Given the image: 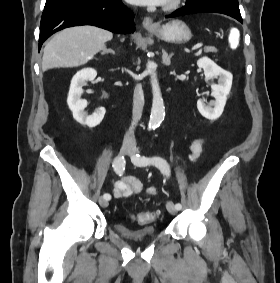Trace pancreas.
<instances>
[{
    "mask_svg": "<svg viewBox=\"0 0 280 283\" xmlns=\"http://www.w3.org/2000/svg\"><path fill=\"white\" fill-rule=\"evenodd\" d=\"M204 52L205 53H208V52L216 53L217 49L215 47H212V46H207V47H204Z\"/></svg>",
    "mask_w": 280,
    "mask_h": 283,
    "instance_id": "1",
    "label": "pancreas"
}]
</instances>
